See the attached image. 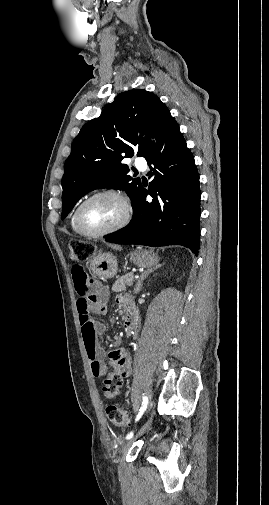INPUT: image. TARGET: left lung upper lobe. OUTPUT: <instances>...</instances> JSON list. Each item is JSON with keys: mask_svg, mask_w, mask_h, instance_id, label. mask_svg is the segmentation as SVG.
Masks as SVG:
<instances>
[{"mask_svg": "<svg viewBox=\"0 0 269 505\" xmlns=\"http://www.w3.org/2000/svg\"><path fill=\"white\" fill-rule=\"evenodd\" d=\"M169 112L155 94L133 89L118 94L98 118L86 123L65 162L61 219L81 197L99 188L123 189L133 205L142 184L128 175L130 169L121 161L135 153L146 155L150 141L143 134L153 135Z\"/></svg>", "mask_w": 269, "mask_h": 505, "instance_id": "1", "label": "left lung upper lobe"}]
</instances>
